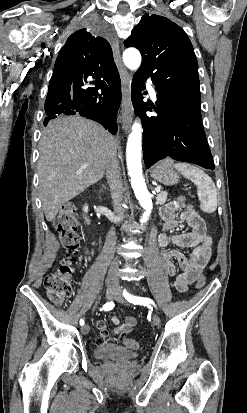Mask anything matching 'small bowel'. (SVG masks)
Wrapping results in <instances>:
<instances>
[{"mask_svg": "<svg viewBox=\"0 0 247 413\" xmlns=\"http://www.w3.org/2000/svg\"><path fill=\"white\" fill-rule=\"evenodd\" d=\"M176 210L177 206L172 204H168L162 208L163 232L158 237V243L160 247H167L170 244H174L180 248H192V252L188 257L177 250H168L163 253L165 268L167 273L174 277L173 284L175 289L179 292H185L188 284L196 280L198 273L201 272L206 265L207 260L204 258V253L207 250L206 239L209 236L206 232L204 220L193 206H185L178 218L176 217ZM184 225H188L191 231L180 234L169 233L170 230ZM91 255L92 252L89 250H85L80 254L78 256V266L90 260ZM174 260L178 262L181 272H178ZM111 321L114 325V334H109V331L106 329V323H97V329L99 330V348L105 347L104 341L105 338H107L108 348L118 349L120 347L119 341H122L123 337H117L116 334H128L137 324V320L133 316H127L125 321L121 323L119 318L114 315Z\"/></svg>", "mask_w": 247, "mask_h": 413, "instance_id": "small-bowel-1", "label": "small bowel"}]
</instances>
